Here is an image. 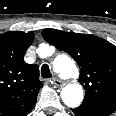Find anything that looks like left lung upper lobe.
Listing matches in <instances>:
<instances>
[{"mask_svg":"<svg viewBox=\"0 0 116 116\" xmlns=\"http://www.w3.org/2000/svg\"><path fill=\"white\" fill-rule=\"evenodd\" d=\"M42 35L79 65L83 103L116 106V46L90 34L44 29Z\"/></svg>","mask_w":116,"mask_h":116,"instance_id":"1","label":"left lung upper lobe"}]
</instances>
